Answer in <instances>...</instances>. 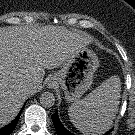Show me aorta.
<instances>
[{"label": "aorta", "mask_w": 135, "mask_h": 135, "mask_svg": "<svg viewBox=\"0 0 135 135\" xmlns=\"http://www.w3.org/2000/svg\"><path fill=\"white\" fill-rule=\"evenodd\" d=\"M40 104L45 108H50L55 104V96L51 92H44L40 96Z\"/></svg>", "instance_id": "1"}]
</instances>
